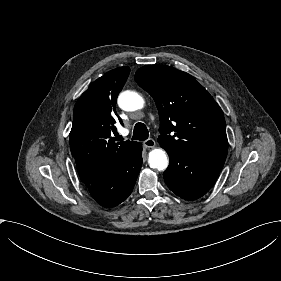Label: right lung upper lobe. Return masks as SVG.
<instances>
[{
	"label": "right lung upper lobe",
	"instance_id": "obj_1",
	"mask_svg": "<svg viewBox=\"0 0 281 281\" xmlns=\"http://www.w3.org/2000/svg\"><path fill=\"white\" fill-rule=\"evenodd\" d=\"M129 72V67H120L105 73L90 84L75 105L69 143L86 187L111 174L139 144L115 142L113 137L117 133L116 100Z\"/></svg>",
	"mask_w": 281,
	"mask_h": 281
}]
</instances>
